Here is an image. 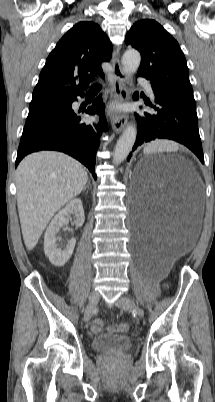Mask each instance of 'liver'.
<instances>
[{
  "label": "liver",
  "instance_id": "6515ba94",
  "mask_svg": "<svg viewBox=\"0 0 215 402\" xmlns=\"http://www.w3.org/2000/svg\"><path fill=\"white\" fill-rule=\"evenodd\" d=\"M81 163L55 151L26 156L16 171L17 206L23 240L32 250L54 214L86 186Z\"/></svg>",
  "mask_w": 215,
  "mask_h": 402
}]
</instances>
